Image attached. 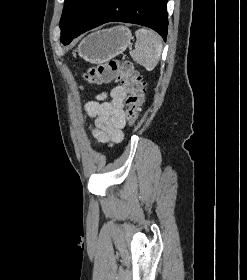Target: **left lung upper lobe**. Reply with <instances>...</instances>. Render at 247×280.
Listing matches in <instances>:
<instances>
[{
    "instance_id": "1",
    "label": "left lung upper lobe",
    "mask_w": 247,
    "mask_h": 280,
    "mask_svg": "<svg viewBox=\"0 0 247 280\" xmlns=\"http://www.w3.org/2000/svg\"><path fill=\"white\" fill-rule=\"evenodd\" d=\"M101 0H65L62 17L60 20L61 37L79 29L90 11Z\"/></svg>"
}]
</instances>
